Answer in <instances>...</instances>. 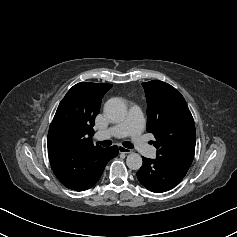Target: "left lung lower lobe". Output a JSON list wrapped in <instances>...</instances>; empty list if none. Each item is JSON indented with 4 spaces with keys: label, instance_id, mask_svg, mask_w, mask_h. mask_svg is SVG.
<instances>
[{
    "label": "left lung lower lobe",
    "instance_id": "1",
    "mask_svg": "<svg viewBox=\"0 0 237 237\" xmlns=\"http://www.w3.org/2000/svg\"><path fill=\"white\" fill-rule=\"evenodd\" d=\"M188 169L158 157H143V165L137 172V178L148 190L160 193L175 187L184 178Z\"/></svg>",
    "mask_w": 237,
    "mask_h": 237
}]
</instances>
